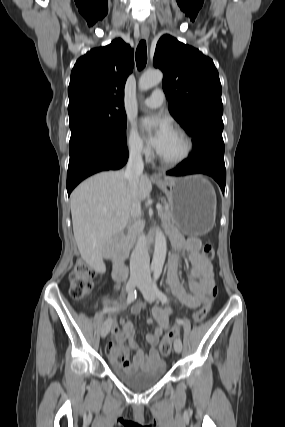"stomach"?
<instances>
[{
    "label": "stomach",
    "mask_w": 285,
    "mask_h": 427,
    "mask_svg": "<svg viewBox=\"0 0 285 427\" xmlns=\"http://www.w3.org/2000/svg\"><path fill=\"white\" fill-rule=\"evenodd\" d=\"M157 185L168 198L172 223L182 233L200 236L213 228L216 194L203 176L171 178Z\"/></svg>",
    "instance_id": "obj_1"
}]
</instances>
